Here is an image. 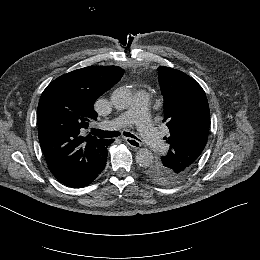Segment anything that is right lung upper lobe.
<instances>
[{
	"mask_svg": "<svg viewBox=\"0 0 260 260\" xmlns=\"http://www.w3.org/2000/svg\"><path fill=\"white\" fill-rule=\"evenodd\" d=\"M117 66H89L51 82L37 110L38 136L47 165L58 181L86 173L107 154L112 140L83 136L97 119L96 99L123 76Z\"/></svg>",
	"mask_w": 260,
	"mask_h": 260,
	"instance_id": "1",
	"label": "right lung upper lobe"
}]
</instances>
